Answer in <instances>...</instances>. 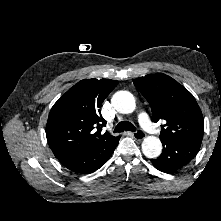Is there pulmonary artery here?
<instances>
[{
  "instance_id": "e3ab8cb5",
  "label": "pulmonary artery",
  "mask_w": 221,
  "mask_h": 221,
  "mask_svg": "<svg viewBox=\"0 0 221 221\" xmlns=\"http://www.w3.org/2000/svg\"><path fill=\"white\" fill-rule=\"evenodd\" d=\"M137 120L140 124V126L147 132L153 133L154 132V127L152 123L150 122L148 116L144 112H140L137 116Z\"/></svg>"
}]
</instances>
